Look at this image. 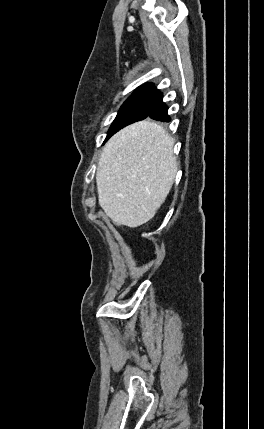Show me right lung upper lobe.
Returning a JSON list of instances; mask_svg holds the SVG:
<instances>
[{
  "label": "right lung upper lobe",
  "instance_id": "1",
  "mask_svg": "<svg viewBox=\"0 0 264 429\" xmlns=\"http://www.w3.org/2000/svg\"><path fill=\"white\" fill-rule=\"evenodd\" d=\"M140 88H155V87L151 84H147V85L140 86L138 89H140Z\"/></svg>",
  "mask_w": 264,
  "mask_h": 429
}]
</instances>
